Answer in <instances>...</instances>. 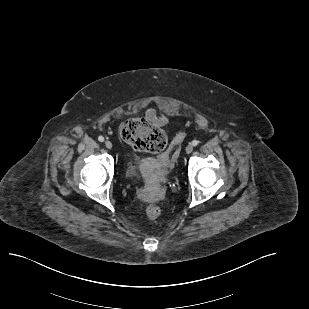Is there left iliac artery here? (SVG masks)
Wrapping results in <instances>:
<instances>
[{"mask_svg": "<svg viewBox=\"0 0 309 309\" xmlns=\"http://www.w3.org/2000/svg\"><path fill=\"white\" fill-rule=\"evenodd\" d=\"M198 143H199V141H198V140H193V141H192V145H193V146H197V145H198Z\"/></svg>", "mask_w": 309, "mask_h": 309, "instance_id": "1", "label": "left iliac artery"}]
</instances>
